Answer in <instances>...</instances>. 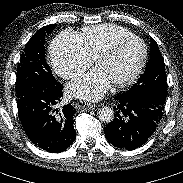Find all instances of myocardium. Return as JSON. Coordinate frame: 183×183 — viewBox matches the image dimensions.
I'll use <instances>...</instances> for the list:
<instances>
[{"mask_svg":"<svg viewBox=\"0 0 183 183\" xmlns=\"http://www.w3.org/2000/svg\"><path fill=\"white\" fill-rule=\"evenodd\" d=\"M131 40H135V41H138L141 43V45L143 47V53H142L141 60L138 64V66L136 67V69L133 71V73L130 76H128L127 78H125L121 81L113 83L114 88L127 87V86L133 84L138 79V77L141 75V73L146 65L147 57H148V47H147L145 41L136 35L121 37V38L115 40L113 43H111L108 47L103 49L101 52H99L94 58V63L97 64L100 60L107 58V57L111 56L112 54H114L115 51L123 43H125L127 41H131Z\"/></svg>","mask_w":183,"mask_h":183,"instance_id":"1","label":"myocardium"}]
</instances>
